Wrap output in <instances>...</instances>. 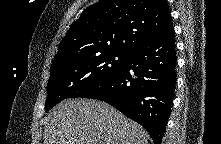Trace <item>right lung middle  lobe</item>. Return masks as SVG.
<instances>
[{
  "label": "right lung middle lobe",
  "instance_id": "right-lung-middle-lobe-1",
  "mask_svg": "<svg viewBox=\"0 0 221 144\" xmlns=\"http://www.w3.org/2000/svg\"><path fill=\"white\" fill-rule=\"evenodd\" d=\"M127 57L123 52H105L51 69L45 109L64 99L80 97L108 81L123 67Z\"/></svg>",
  "mask_w": 221,
  "mask_h": 144
}]
</instances>
